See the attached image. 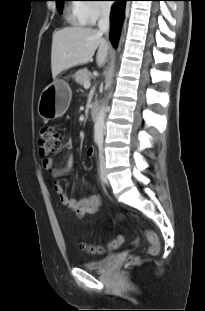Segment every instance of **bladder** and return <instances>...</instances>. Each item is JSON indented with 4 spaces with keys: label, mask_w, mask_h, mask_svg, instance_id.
Listing matches in <instances>:
<instances>
[{
    "label": "bladder",
    "mask_w": 205,
    "mask_h": 311,
    "mask_svg": "<svg viewBox=\"0 0 205 311\" xmlns=\"http://www.w3.org/2000/svg\"><path fill=\"white\" fill-rule=\"evenodd\" d=\"M114 257V255H109L102 259L83 263L82 268L90 271H102L114 260Z\"/></svg>",
    "instance_id": "1"
}]
</instances>
